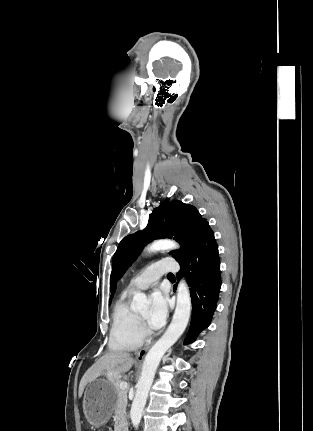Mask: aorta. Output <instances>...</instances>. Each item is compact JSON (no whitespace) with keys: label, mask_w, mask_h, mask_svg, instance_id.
<instances>
[{"label":"aorta","mask_w":313,"mask_h":431,"mask_svg":"<svg viewBox=\"0 0 313 431\" xmlns=\"http://www.w3.org/2000/svg\"><path fill=\"white\" fill-rule=\"evenodd\" d=\"M179 245L169 239L154 241L147 247L148 252H159L177 249ZM149 302L144 293H136L133 297V307L137 311L148 308ZM191 314V297L187 284L181 281L177 288V304L172 322L163 336L151 347L145 356L141 377L130 410V418L134 428H138L145 407L150 387L153 383L156 369L166 353L185 331Z\"/></svg>","instance_id":"aorta-1"}]
</instances>
